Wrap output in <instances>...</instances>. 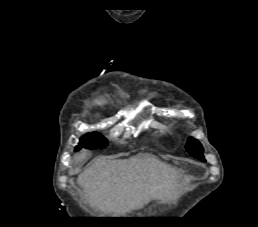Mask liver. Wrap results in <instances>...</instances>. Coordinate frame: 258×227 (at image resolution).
I'll list each match as a JSON object with an SVG mask.
<instances>
[{"instance_id":"liver-1","label":"liver","mask_w":258,"mask_h":227,"mask_svg":"<svg viewBox=\"0 0 258 227\" xmlns=\"http://www.w3.org/2000/svg\"><path fill=\"white\" fill-rule=\"evenodd\" d=\"M88 155L82 150L74 155V162H81ZM177 179L175 168L154 157H101L78 176L77 183L91 206L104 214L125 215L151 200L168 199Z\"/></svg>"}]
</instances>
